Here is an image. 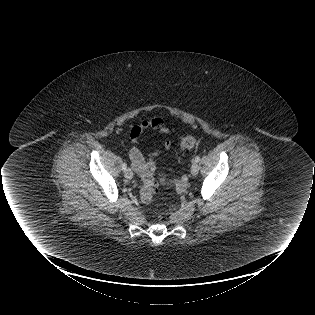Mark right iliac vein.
Masks as SVG:
<instances>
[{"label": "right iliac vein", "mask_w": 315, "mask_h": 315, "mask_svg": "<svg viewBox=\"0 0 315 315\" xmlns=\"http://www.w3.org/2000/svg\"><path fill=\"white\" fill-rule=\"evenodd\" d=\"M124 175H125L126 179L130 180L133 177V172H132V170L130 168H128V169L125 170V174Z\"/></svg>", "instance_id": "right-iliac-vein-1"}]
</instances>
